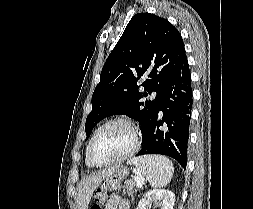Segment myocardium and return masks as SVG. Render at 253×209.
I'll use <instances>...</instances> for the list:
<instances>
[{
	"label": "myocardium",
	"instance_id": "f54148a6",
	"mask_svg": "<svg viewBox=\"0 0 253 209\" xmlns=\"http://www.w3.org/2000/svg\"><path fill=\"white\" fill-rule=\"evenodd\" d=\"M114 123H121L126 125L132 133V145L131 147L125 151L122 155H120L119 157L107 161V162H96L93 158V145L95 142V139L97 138L98 134L107 126L114 124ZM140 144V131L138 126L136 125V123L126 117V116H116L113 118H110L109 120H107L106 122H104L102 125H100L96 131L94 132L93 136L91 137L89 144H88V149H87V156H88V161L90 163L91 166L93 167H105V166H110L113 164H117L120 163L124 160H126L127 158H129L130 156H132L138 149Z\"/></svg>",
	"mask_w": 253,
	"mask_h": 209
}]
</instances>
